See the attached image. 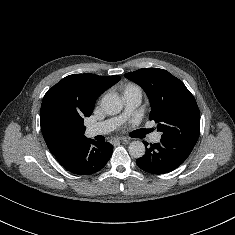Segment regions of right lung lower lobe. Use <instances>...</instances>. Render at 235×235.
<instances>
[{"label":"right lung lower lobe","instance_id":"98d812e1","mask_svg":"<svg viewBox=\"0 0 235 235\" xmlns=\"http://www.w3.org/2000/svg\"><path fill=\"white\" fill-rule=\"evenodd\" d=\"M113 146L108 142L85 139L79 142L59 163L68 171L82 175L102 169L111 157Z\"/></svg>","mask_w":235,"mask_h":235}]
</instances>
